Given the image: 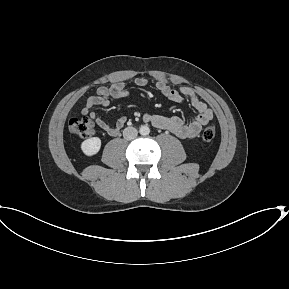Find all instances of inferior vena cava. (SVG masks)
I'll return each mask as SVG.
<instances>
[{
    "instance_id": "inferior-vena-cava-1",
    "label": "inferior vena cava",
    "mask_w": 289,
    "mask_h": 289,
    "mask_svg": "<svg viewBox=\"0 0 289 289\" xmlns=\"http://www.w3.org/2000/svg\"><path fill=\"white\" fill-rule=\"evenodd\" d=\"M138 131L134 127H127L123 130V137L127 140H132L136 138Z\"/></svg>"
}]
</instances>
